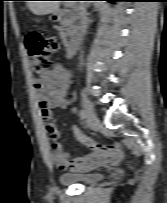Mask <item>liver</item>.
<instances>
[{
	"mask_svg": "<svg viewBox=\"0 0 167 203\" xmlns=\"http://www.w3.org/2000/svg\"><path fill=\"white\" fill-rule=\"evenodd\" d=\"M28 8L37 15H45L56 11L60 1H28Z\"/></svg>",
	"mask_w": 167,
	"mask_h": 203,
	"instance_id": "liver-1",
	"label": "liver"
}]
</instances>
